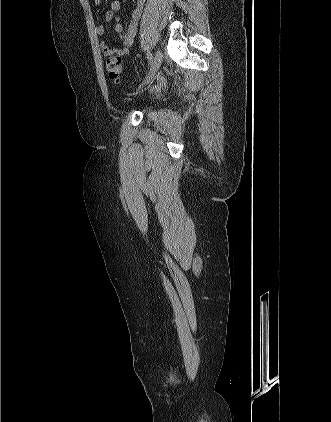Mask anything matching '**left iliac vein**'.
Returning a JSON list of instances; mask_svg holds the SVG:
<instances>
[{
    "label": "left iliac vein",
    "mask_w": 331,
    "mask_h": 422,
    "mask_svg": "<svg viewBox=\"0 0 331 422\" xmlns=\"http://www.w3.org/2000/svg\"><path fill=\"white\" fill-rule=\"evenodd\" d=\"M162 60H163V55H162L160 50H157L155 52V56H154V59H153L152 66L149 70V73L147 74L144 82L139 87V89H142L145 85H147L153 79V77L155 76V74L157 73V71L159 70V68L161 66Z\"/></svg>",
    "instance_id": "4c4485c4"
}]
</instances>
